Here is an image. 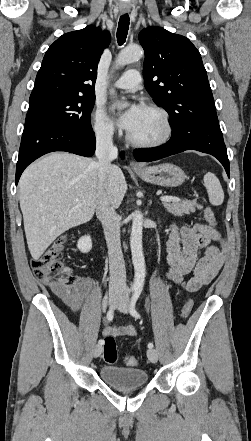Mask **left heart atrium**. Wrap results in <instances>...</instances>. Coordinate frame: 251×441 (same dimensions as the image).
Instances as JSON below:
<instances>
[{"label":"left heart atrium","mask_w":251,"mask_h":441,"mask_svg":"<svg viewBox=\"0 0 251 441\" xmlns=\"http://www.w3.org/2000/svg\"><path fill=\"white\" fill-rule=\"evenodd\" d=\"M120 105H115L114 108H119ZM144 107L139 104H132L126 110H124L118 119L119 125L127 130L132 131L136 126Z\"/></svg>","instance_id":"obj_1"}]
</instances>
